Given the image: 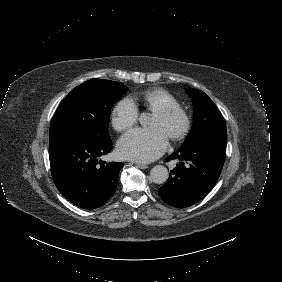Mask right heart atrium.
Here are the masks:
<instances>
[{
	"label": "right heart atrium",
	"mask_w": 282,
	"mask_h": 282,
	"mask_svg": "<svg viewBox=\"0 0 282 282\" xmlns=\"http://www.w3.org/2000/svg\"><path fill=\"white\" fill-rule=\"evenodd\" d=\"M138 117V109L129 101H123L112 112V124L116 130L123 131L135 124Z\"/></svg>",
	"instance_id": "right-heart-atrium-1"
}]
</instances>
